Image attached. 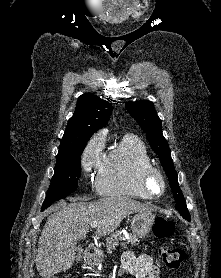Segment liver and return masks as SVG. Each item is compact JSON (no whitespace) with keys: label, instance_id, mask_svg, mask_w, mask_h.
<instances>
[{"label":"liver","instance_id":"obj_1","mask_svg":"<svg viewBox=\"0 0 221 278\" xmlns=\"http://www.w3.org/2000/svg\"><path fill=\"white\" fill-rule=\"evenodd\" d=\"M151 211L148 205L123 196L94 202L73 199L72 203L63 204L48 217L39 238L36 266L40 276L50 278L72 267L77 256L76 244L86 238L93 221L98 222L96 234L106 236L128 215Z\"/></svg>","mask_w":221,"mask_h":278}]
</instances>
